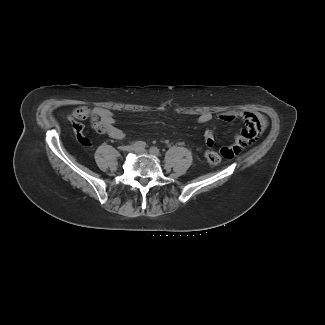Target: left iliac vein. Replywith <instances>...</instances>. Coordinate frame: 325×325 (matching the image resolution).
<instances>
[{
  "label": "left iliac vein",
  "instance_id": "obj_1",
  "mask_svg": "<svg viewBox=\"0 0 325 325\" xmlns=\"http://www.w3.org/2000/svg\"><path fill=\"white\" fill-rule=\"evenodd\" d=\"M133 151L136 152V153H140V154L141 153H147V151L145 149H140V148H135ZM151 154L154 155V156H159V154H156V153H151Z\"/></svg>",
  "mask_w": 325,
  "mask_h": 325
}]
</instances>
